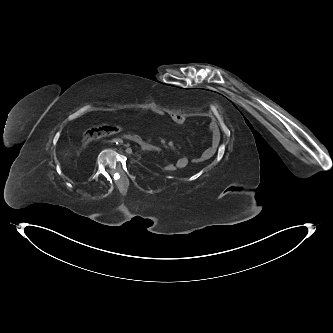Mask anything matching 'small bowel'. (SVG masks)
<instances>
[{
    "mask_svg": "<svg viewBox=\"0 0 333 333\" xmlns=\"http://www.w3.org/2000/svg\"><path fill=\"white\" fill-rule=\"evenodd\" d=\"M171 120L174 123L181 125L186 122L187 118L184 114H173L171 116ZM210 129L212 132L211 145L203 152V154L200 157H198L194 160L196 163H200L205 160H209L210 158H212L215 155V153L217 151V148L220 143V135L218 132L217 125L213 121L210 122ZM188 163H189L188 158L183 156V157L179 158L174 165L177 167V169H183L188 165Z\"/></svg>",
    "mask_w": 333,
    "mask_h": 333,
    "instance_id": "obj_1",
    "label": "small bowel"
}]
</instances>
